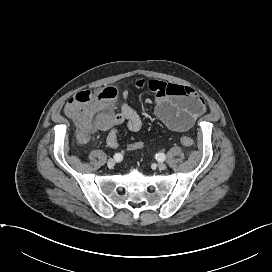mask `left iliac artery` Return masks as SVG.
Here are the masks:
<instances>
[{"label":"left iliac artery","instance_id":"left-iliac-artery-1","mask_svg":"<svg viewBox=\"0 0 272 272\" xmlns=\"http://www.w3.org/2000/svg\"><path fill=\"white\" fill-rule=\"evenodd\" d=\"M156 159L158 161H164L166 159V156L164 153H158V154H156Z\"/></svg>","mask_w":272,"mask_h":272}]
</instances>
